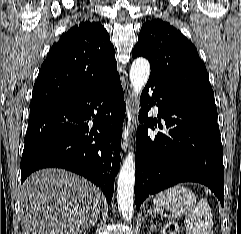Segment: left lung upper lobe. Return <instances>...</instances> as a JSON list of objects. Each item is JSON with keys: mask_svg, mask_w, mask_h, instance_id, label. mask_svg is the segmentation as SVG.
I'll list each match as a JSON object with an SVG mask.
<instances>
[{"mask_svg": "<svg viewBox=\"0 0 241 234\" xmlns=\"http://www.w3.org/2000/svg\"><path fill=\"white\" fill-rule=\"evenodd\" d=\"M132 56L147 58L150 77L165 86L215 104L208 73L197 49L169 23L162 19L144 23Z\"/></svg>", "mask_w": 241, "mask_h": 234, "instance_id": "left-lung-upper-lobe-1", "label": "left lung upper lobe"}]
</instances>
